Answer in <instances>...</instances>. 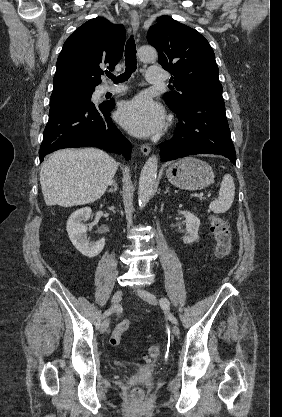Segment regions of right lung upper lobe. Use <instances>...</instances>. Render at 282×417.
I'll return each instance as SVG.
<instances>
[{"label":"right lung upper lobe","instance_id":"obj_1","mask_svg":"<svg viewBox=\"0 0 282 417\" xmlns=\"http://www.w3.org/2000/svg\"><path fill=\"white\" fill-rule=\"evenodd\" d=\"M125 29L103 17L91 19L65 41L57 60L53 93L95 89L103 67L113 70L123 54Z\"/></svg>","mask_w":282,"mask_h":417}]
</instances>
